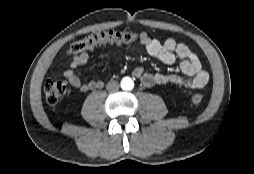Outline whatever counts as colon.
<instances>
[{
	"mask_svg": "<svg viewBox=\"0 0 254 174\" xmlns=\"http://www.w3.org/2000/svg\"><path fill=\"white\" fill-rule=\"evenodd\" d=\"M136 38L137 35L131 31H98L73 43L68 53L70 55L85 53L103 44H127L135 41ZM66 91L67 83L64 80L49 79L45 82L44 94L50 104L57 103L65 95ZM202 100L203 96L201 94H193L191 96V102L195 105L200 104Z\"/></svg>",
	"mask_w": 254,
	"mask_h": 174,
	"instance_id": "1",
	"label": "colon"
}]
</instances>
